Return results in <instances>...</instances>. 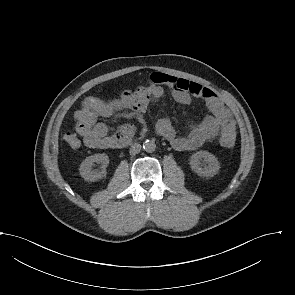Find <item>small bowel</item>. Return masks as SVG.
I'll use <instances>...</instances> for the list:
<instances>
[{
	"mask_svg": "<svg viewBox=\"0 0 295 295\" xmlns=\"http://www.w3.org/2000/svg\"><path fill=\"white\" fill-rule=\"evenodd\" d=\"M163 86L171 89L172 96L178 103L189 104L192 97H197L205 101L210 111V115L192 126L184 136L176 132L168 118L158 120L157 133L166 138L173 149L195 150L205 142L216 138L226 124L235 126L230 113L213 90L196 82L157 72L151 75L148 84L139 86L135 90H126L117 98L103 100L90 96L84 99L74 119L76 131L82 137L85 146L91 149H112L118 147L121 139L131 138L135 132L132 125L125 124L116 133L109 134L107 126L99 122V118L111 117L125 109L143 113L151 102L163 96Z\"/></svg>",
	"mask_w": 295,
	"mask_h": 295,
	"instance_id": "obj_1",
	"label": "small bowel"
}]
</instances>
